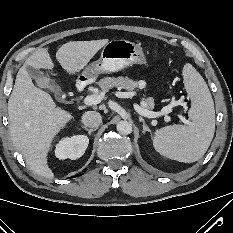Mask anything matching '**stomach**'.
<instances>
[{
  "mask_svg": "<svg viewBox=\"0 0 233 233\" xmlns=\"http://www.w3.org/2000/svg\"><path fill=\"white\" fill-rule=\"evenodd\" d=\"M146 63V56L139 44L124 39L112 40L103 46L100 58L90 63L81 75L88 81H94L100 74L114 73L133 64Z\"/></svg>",
  "mask_w": 233,
  "mask_h": 233,
  "instance_id": "1",
  "label": "stomach"
}]
</instances>
